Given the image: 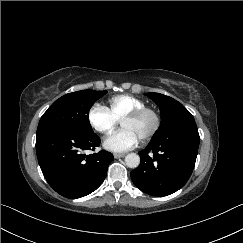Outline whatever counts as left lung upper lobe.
<instances>
[{
	"mask_svg": "<svg viewBox=\"0 0 243 243\" xmlns=\"http://www.w3.org/2000/svg\"><path fill=\"white\" fill-rule=\"evenodd\" d=\"M145 95L159 106L161 112L160 128L153 139L164 137L183 125L195 122L192 114L177 100L160 93Z\"/></svg>",
	"mask_w": 243,
	"mask_h": 243,
	"instance_id": "left-lung-upper-lobe-1",
	"label": "left lung upper lobe"
}]
</instances>
